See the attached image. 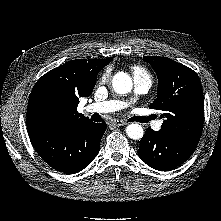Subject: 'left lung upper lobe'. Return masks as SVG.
I'll use <instances>...</instances> for the list:
<instances>
[{
	"label": "left lung upper lobe",
	"mask_w": 221,
	"mask_h": 221,
	"mask_svg": "<svg viewBox=\"0 0 221 221\" xmlns=\"http://www.w3.org/2000/svg\"><path fill=\"white\" fill-rule=\"evenodd\" d=\"M158 76L157 98L149 108L162 111L160 133L197 145L204 123L200 79L189 67L159 56H145Z\"/></svg>",
	"instance_id": "left-lung-upper-lobe-1"
}]
</instances>
